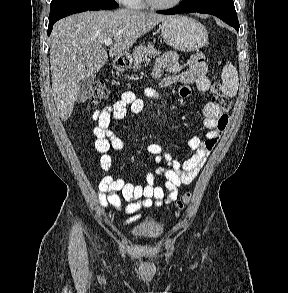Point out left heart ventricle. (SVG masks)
<instances>
[{"label": "left heart ventricle", "mask_w": 288, "mask_h": 293, "mask_svg": "<svg viewBox=\"0 0 288 293\" xmlns=\"http://www.w3.org/2000/svg\"><path fill=\"white\" fill-rule=\"evenodd\" d=\"M156 2H159V3H169L171 2L172 0H155Z\"/></svg>", "instance_id": "b2bd125f"}]
</instances>
